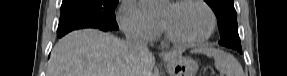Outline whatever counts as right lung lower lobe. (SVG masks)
<instances>
[{
	"label": "right lung lower lobe",
	"mask_w": 287,
	"mask_h": 76,
	"mask_svg": "<svg viewBox=\"0 0 287 76\" xmlns=\"http://www.w3.org/2000/svg\"><path fill=\"white\" fill-rule=\"evenodd\" d=\"M100 30H103V31H110L109 29H104V28H98Z\"/></svg>",
	"instance_id": "1"
}]
</instances>
